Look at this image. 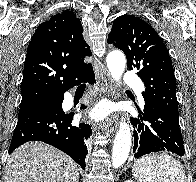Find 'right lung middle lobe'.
I'll use <instances>...</instances> for the list:
<instances>
[{
  "label": "right lung middle lobe",
  "instance_id": "right-lung-middle-lobe-1",
  "mask_svg": "<svg viewBox=\"0 0 196 182\" xmlns=\"http://www.w3.org/2000/svg\"><path fill=\"white\" fill-rule=\"evenodd\" d=\"M58 101V98H52L45 101H41L38 103L27 104V105H20L19 116L46 109L54 105Z\"/></svg>",
  "mask_w": 196,
  "mask_h": 182
}]
</instances>
